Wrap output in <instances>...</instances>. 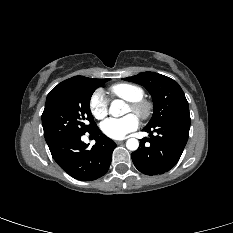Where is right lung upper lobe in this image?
<instances>
[{
	"label": "right lung upper lobe",
	"mask_w": 233,
	"mask_h": 233,
	"mask_svg": "<svg viewBox=\"0 0 233 233\" xmlns=\"http://www.w3.org/2000/svg\"><path fill=\"white\" fill-rule=\"evenodd\" d=\"M83 78H84L83 76H75V77H72V78H70V79H67V80L61 82V83L58 84L56 87L74 84V83H76V82L82 80Z\"/></svg>",
	"instance_id": "obj_1"
}]
</instances>
